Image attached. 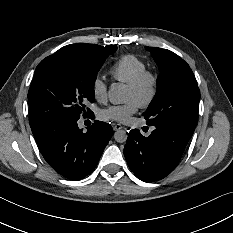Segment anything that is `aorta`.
<instances>
[{"label":"aorta","mask_w":233,"mask_h":233,"mask_svg":"<svg viewBox=\"0 0 233 233\" xmlns=\"http://www.w3.org/2000/svg\"><path fill=\"white\" fill-rule=\"evenodd\" d=\"M109 101L114 104H124L127 102L126 87L121 83H113L108 91ZM114 139L118 143H124L127 140V134L124 130H118L114 133Z\"/></svg>","instance_id":"762f6f07"}]
</instances>
